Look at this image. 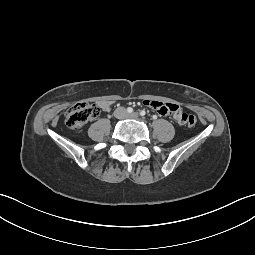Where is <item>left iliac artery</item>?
<instances>
[{"label": "left iliac artery", "instance_id": "1", "mask_svg": "<svg viewBox=\"0 0 255 255\" xmlns=\"http://www.w3.org/2000/svg\"><path fill=\"white\" fill-rule=\"evenodd\" d=\"M145 114H146V111H145V110H141V111H140V115H141V116H144Z\"/></svg>", "mask_w": 255, "mask_h": 255}]
</instances>
